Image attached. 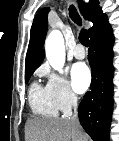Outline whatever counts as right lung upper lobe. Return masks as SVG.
Masks as SVG:
<instances>
[{
  "label": "right lung upper lobe",
  "mask_w": 119,
  "mask_h": 141,
  "mask_svg": "<svg viewBox=\"0 0 119 141\" xmlns=\"http://www.w3.org/2000/svg\"><path fill=\"white\" fill-rule=\"evenodd\" d=\"M79 7L83 17L93 23V26L88 30L90 36L98 24L105 20L107 16L99 7L98 0H90L88 4L80 3ZM48 11L49 8L42 9L36 15L32 24L25 73L34 72L43 61V45L47 32Z\"/></svg>",
  "instance_id": "right-lung-upper-lobe-1"
}]
</instances>
